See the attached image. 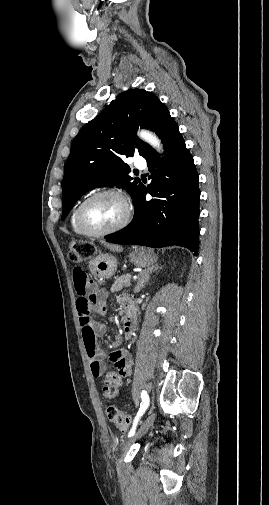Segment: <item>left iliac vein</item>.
Returning <instances> with one entry per match:
<instances>
[{"label": "left iliac vein", "instance_id": "obj_1", "mask_svg": "<svg viewBox=\"0 0 269 505\" xmlns=\"http://www.w3.org/2000/svg\"><path fill=\"white\" fill-rule=\"evenodd\" d=\"M155 417V413L150 411L148 417L141 423L134 435L122 444L121 449L123 451H127L134 442L145 435L149 428L153 425Z\"/></svg>", "mask_w": 269, "mask_h": 505}]
</instances>
